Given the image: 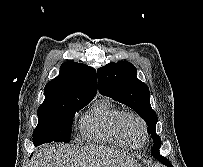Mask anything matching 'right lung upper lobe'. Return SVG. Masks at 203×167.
<instances>
[{
	"mask_svg": "<svg viewBox=\"0 0 203 167\" xmlns=\"http://www.w3.org/2000/svg\"><path fill=\"white\" fill-rule=\"evenodd\" d=\"M97 93L96 71L76 62H65L60 74L48 82L45 100L38 109L52 108L71 100L93 99Z\"/></svg>",
	"mask_w": 203,
	"mask_h": 167,
	"instance_id": "right-lung-upper-lobe-1",
	"label": "right lung upper lobe"
}]
</instances>
